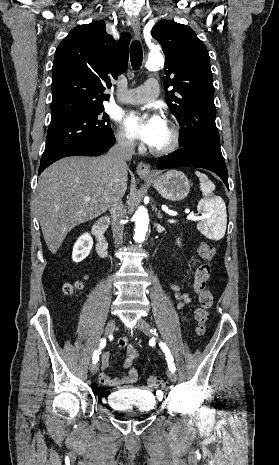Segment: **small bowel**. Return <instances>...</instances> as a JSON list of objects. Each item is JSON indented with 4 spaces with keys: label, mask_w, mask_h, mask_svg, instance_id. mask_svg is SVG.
Masks as SVG:
<instances>
[{
    "label": "small bowel",
    "mask_w": 279,
    "mask_h": 465,
    "mask_svg": "<svg viewBox=\"0 0 279 465\" xmlns=\"http://www.w3.org/2000/svg\"><path fill=\"white\" fill-rule=\"evenodd\" d=\"M186 280H183V282ZM180 284L181 283H174L171 285V288L175 291V297L177 300L176 306L177 308L181 309L186 304L191 302V296L186 293L180 292ZM116 346L120 350H125V357L123 360V368L126 370L123 376L118 378H113L108 376L104 370L109 365L110 360V352H105L101 355V362H102V372L100 373L99 379L102 385L106 387H117L125 384H129L134 382L137 379L138 373L136 369H134L133 363L139 357L138 350L133 346V344L128 342L126 337H121L117 340Z\"/></svg>",
    "instance_id": "c3829d8e"
}]
</instances>
